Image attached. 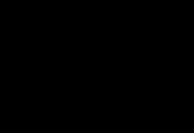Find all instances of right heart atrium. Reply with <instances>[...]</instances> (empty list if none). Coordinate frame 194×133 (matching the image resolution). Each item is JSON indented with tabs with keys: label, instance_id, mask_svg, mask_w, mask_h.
I'll return each mask as SVG.
<instances>
[{
	"label": "right heart atrium",
	"instance_id": "obj_1",
	"mask_svg": "<svg viewBox=\"0 0 194 133\" xmlns=\"http://www.w3.org/2000/svg\"><path fill=\"white\" fill-rule=\"evenodd\" d=\"M70 25L74 33L80 36H84L87 34V30L84 28V26L79 21L73 20Z\"/></svg>",
	"mask_w": 194,
	"mask_h": 133
}]
</instances>
